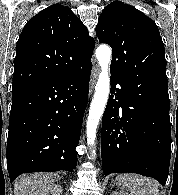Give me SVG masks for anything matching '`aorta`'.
<instances>
[{
  "instance_id": "1",
  "label": "aorta",
  "mask_w": 178,
  "mask_h": 195,
  "mask_svg": "<svg viewBox=\"0 0 178 195\" xmlns=\"http://www.w3.org/2000/svg\"><path fill=\"white\" fill-rule=\"evenodd\" d=\"M111 54V49L107 45H100L96 49V58L101 67V72L95 86L94 98L89 109V116L86 124L87 142L90 146L95 144L97 127L109 97V65Z\"/></svg>"
}]
</instances>
